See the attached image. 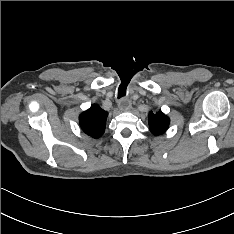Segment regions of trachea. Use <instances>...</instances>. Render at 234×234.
Listing matches in <instances>:
<instances>
[{
    "label": "trachea",
    "instance_id": "trachea-1",
    "mask_svg": "<svg viewBox=\"0 0 234 234\" xmlns=\"http://www.w3.org/2000/svg\"><path fill=\"white\" fill-rule=\"evenodd\" d=\"M126 85L124 83H122L120 86H119V89H118V98H122L126 95Z\"/></svg>",
    "mask_w": 234,
    "mask_h": 234
}]
</instances>
